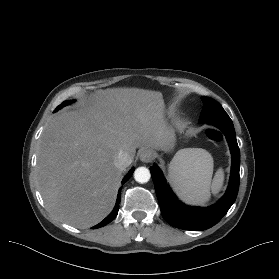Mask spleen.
<instances>
[{"mask_svg": "<svg viewBox=\"0 0 279 279\" xmlns=\"http://www.w3.org/2000/svg\"><path fill=\"white\" fill-rule=\"evenodd\" d=\"M213 158L200 148L184 149L177 153L169 166L168 177L177 195L192 205H204L223 185L224 172L220 168L213 175Z\"/></svg>", "mask_w": 279, "mask_h": 279, "instance_id": "3e777b00", "label": "spleen"}]
</instances>
